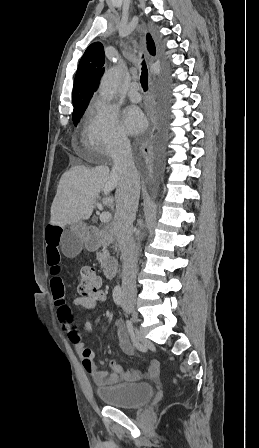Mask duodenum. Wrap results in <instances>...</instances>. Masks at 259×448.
<instances>
[{"mask_svg": "<svg viewBox=\"0 0 259 448\" xmlns=\"http://www.w3.org/2000/svg\"><path fill=\"white\" fill-rule=\"evenodd\" d=\"M112 240V236L109 232L101 230L96 227H92L88 231L87 235V249L88 250H96L98 249L102 244L108 243ZM102 271L104 275L112 279L115 277L117 272V262L116 260L109 258L103 261L102 263Z\"/></svg>", "mask_w": 259, "mask_h": 448, "instance_id": "1", "label": "duodenum"}]
</instances>
